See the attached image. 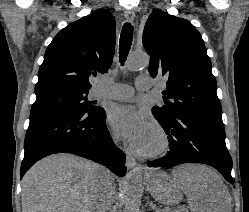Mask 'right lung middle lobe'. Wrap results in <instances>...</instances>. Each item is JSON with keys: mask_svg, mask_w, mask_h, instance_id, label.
Segmentation results:
<instances>
[{"mask_svg": "<svg viewBox=\"0 0 249 212\" xmlns=\"http://www.w3.org/2000/svg\"><path fill=\"white\" fill-rule=\"evenodd\" d=\"M84 91H54L36 96L31 111L36 109H68L94 114L99 108L87 99Z\"/></svg>", "mask_w": 249, "mask_h": 212, "instance_id": "dd1d6c3e", "label": "right lung middle lobe"}]
</instances>
